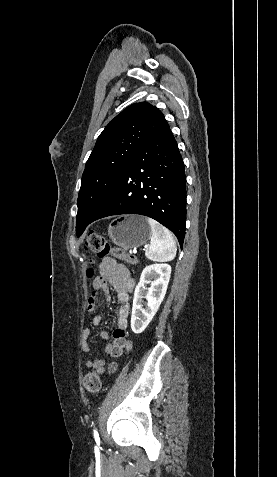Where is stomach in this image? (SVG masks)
<instances>
[{"label": "stomach", "instance_id": "obj_1", "mask_svg": "<svg viewBox=\"0 0 277 477\" xmlns=\"http://www.w3.org/2000/svg\"><path fill=\"white\" fill-rule=\"evenodd\" d=\"M108 235L113 244L129 250L146 244L151 228L146 217L128 215L114 219L109 224Z\"/></svg>", "mask_w": 277, "mask_h": 477}]
</instances>
